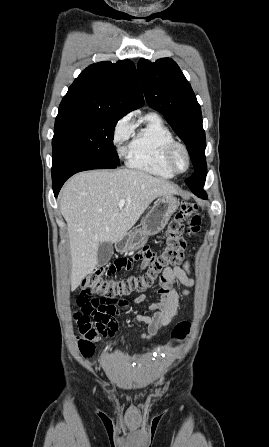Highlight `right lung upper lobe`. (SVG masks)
Masks as SVG:
<instances>
[{
	"label": "right lung upper lobe",
	"mask_w": 269,
	"mask_h": 447,
	"mask_svg": "<svg viewBox=\"0 0 269 447\" xmlns=\"http://www.w3.org/2000/svg\"><path fill=\"white\" fill-rule=\"evenodd\" d=\"M144 104L136 68L129 60L95 63L75 79L58 115H106L121 118Z\"/></svg>",
	"instance_id": "cb5924a9"
}]
</instances>
